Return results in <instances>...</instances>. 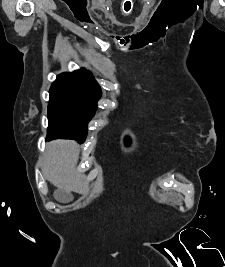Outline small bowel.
<instances>
[{
    "label": "small bowel",
    "mask_w": 225,
    "mask_h": 267,
    "mask_svg": "<svg viewBox=\"0 0 225 267\" xmlns=\"http://www.w3.org/2000/svg\"><path fill=\"white\" fill-rule=\"evenodd\" d=\"M168 199L169 200H172V201H175V202H178L179 201V199L176 196H174V195H169L168 196Z\"/></svg>",
    "instance_id": "1"
}]
</instances>
